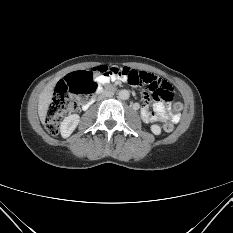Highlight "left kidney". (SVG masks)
<instances>
[{"mask_svg": "<svg viewBox=\"0 0 233 233\" xmlns=\"http://www.w3.org/2000/svg\"><path fill=\"white\" fill-rule=\"evenodd\" d=\"M150 128H151V131H152L153 134H155V135H160L161 134V128H160L159 125L154 124V125H151Z\"/></svg>", "mask_w": 233, "mask_h": 233, "instance_id": "5707ae66", "label": "left kidney"}]
</instances>
